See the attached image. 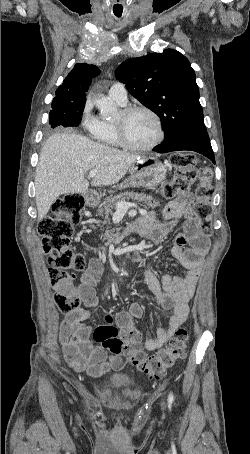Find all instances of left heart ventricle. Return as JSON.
Segmentation results:
<instances>
[{
  "label": "left heart ventricle",
  "instance_id": "obj_1",
  "mask_svg": "<svg viewBox=\"0 0 250 454\" xmlns=\"http://www.w3.org/2000/svg\"><path fill=\"white\" fill-rule=\"evenodd\" d=\"M125 125L130 142L136 146H146L157 137L156 123L146 112L131 114Z\"/></svg>",
  "mask_w": 250,
  "mask_h": 454
}]
</instances>
